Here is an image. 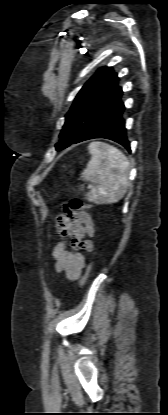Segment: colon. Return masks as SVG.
Listing matches in <instances>:
<instances>
[{"mask_svg": "<svg viewBox=\"0 0 168 415\" xmlns=\"http://www.w3.org/2000/svg\"><path fill=\"white\" fill-rule=\"evenodd\" d=\"M82 200H85V197H76L69 201L70 207H80L81 210H84L87 207V204H85ZM88 207H91V204H88ZM67 206L65 207L66 210ZM64 222V221H63ZM91 266L89 265L81 278L80 285L83 286L85 282L88 279L89 273H90Z\"/></svg>", "mask_w": 168, "mask_h": 415, "instance_id": "colon-1", "label": "colon"}]
</instances>
